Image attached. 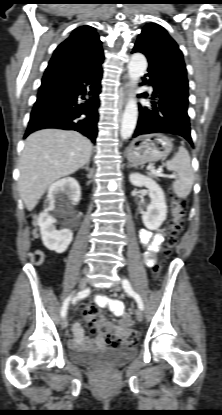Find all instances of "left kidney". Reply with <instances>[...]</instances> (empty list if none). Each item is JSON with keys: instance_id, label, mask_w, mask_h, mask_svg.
<instances>
[{"instance_id": "1", "label": "left kidney", "mask_w": 222, "mask_h": 415, "mask_svg": "<svg viewBox=\"0 0 222 415\" xmlns=\"http://www.w3.org/2000/svg\"><path fill=\"white\" fill-rule=\"evenodd\" d=\"M129 180L134 186H144L148 189L151 202L146 212L142 214V221L147 229L157 230L167 216V205L162 188L152 179L139 173H131Z\"/></svg>"}]
</instances>
